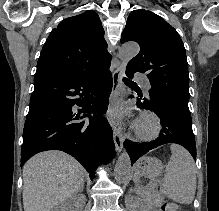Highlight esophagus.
<instances>
[{"mask_svg": "<svg viewBox=\"0 0 219 211\" xmlns=\"http://www.w3.org/2000/svg\"><path fill=\"white\" fill-rule=\"evenodd\" d=\"M125 63H121L118 68L113 72V86L110 95V108L113 109L117 104L120 96V90L122 88V77L125 74ZM111 126L113 129V139L115 143V147L118 152H121L123 149L124 143V134L121 127V124L117 120H111Z\"/></svg>", "mask_w": 219, "mask_h": 211, "instance_id": "1", "label": "esophagus"}]
</instances>
